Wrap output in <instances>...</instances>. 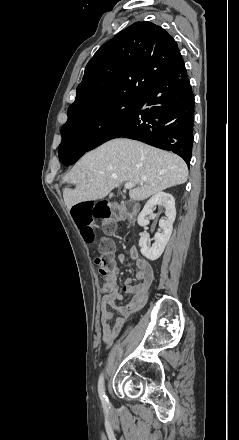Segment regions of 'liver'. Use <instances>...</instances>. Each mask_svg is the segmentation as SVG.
<instances>
[{
    "label": "liver",
    "instance_id": "obj_1",
    "mask_svg": "<svg viewBox=\"0 0 239 440\" xmlns=\"http://www.w3.org/2000/svg\"><path fill=\"white\" fill-rule=\"evenodd\" d=\"M142 176L147 180H141ZM187 178L188 168L176 154L117 138L88 152L73 166L63 182L76 188H64L63 198L70 210L79 202L106 198L123 182H132L139 188L130 190L131 200H147L170 186L185 184Z\"/></svg>",
    "mask_w": 239,
    "mask_h": 440
}]
</instances>
